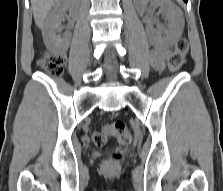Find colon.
Listing matches in <instances>:
<instances>
[{
	"instance_id": "1",
	"label": "colon",
	"mask_w": 223,
	"mask_h": 191,
	"mask_svg": "<svg viewBox=\"0 0 223 191\" xmlns=\"http://www.w3.org/2000/svg\"><path fill=\"white\" fill-rule=\"evenodd\" d=\"M183 3V0H180ZM189 51V42L186 38H180L168 59V68L171 72L177 71ZM65 57L63 55L49 54L39 60V66L52 77H59L62 74ZM109 136L117 137L123 144H129L132 140L131 133L123 121H116L106 125L101 132H95L92 135V142L96 147H103ZM121 168V154L111 153L103 163V171L106 174H115Z\"/></svg>"
}]
</instances>
